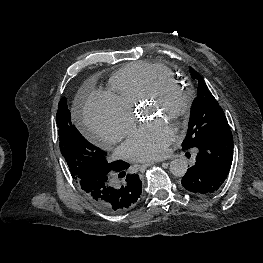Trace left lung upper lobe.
I'll list each match as a JSON object with an SVG mask.
<instances>
[{
    "label": "left lung upper lobe",
    "instance_id": "left-lung-upper-lobe-1",
    "mask_svg": "<svg viewBox=\"0 0 263 263\" xmlns=\"http://www.w3.org/2000/svg\"><path fill=\"white\" fill-rule=\"evenodd\" d=\"M191 77L198 81L197 97L191 107L187 135L182 143L183 149L197 147L212 134L230 130L225 114L214 96L210 93L203 78L193 69Z\"/></svg>",
    "mask_w": 263,
    "mask_h": 263
}]
</instances>
